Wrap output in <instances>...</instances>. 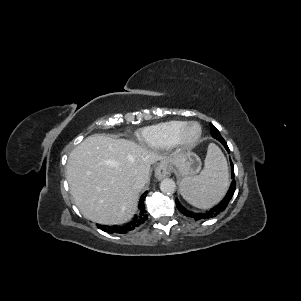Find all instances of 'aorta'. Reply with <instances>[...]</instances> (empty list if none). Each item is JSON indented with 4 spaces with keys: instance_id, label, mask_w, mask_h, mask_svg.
Segmentation results:
<instances>
[{
    "instance_id": "1",
    "label": "aorta",
    "mask_w": 301,
    "mask_h": 301,
    "mask_svg": "<svg viewBox=\"0 0 301 301\" xmlns=\"http://www.w3.org/2000/svg\"><path fill=\"white\" fill-rule=\"evenodd\" d=\"M160 190L166 194H173L176 190V183L174 180L166 178L161 181Z\"/></svg>"
}]
</instances>
